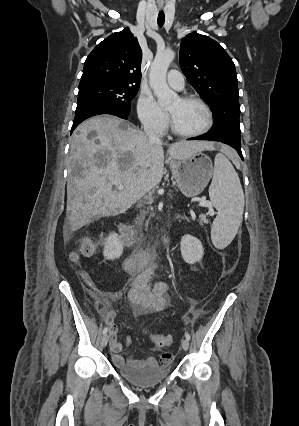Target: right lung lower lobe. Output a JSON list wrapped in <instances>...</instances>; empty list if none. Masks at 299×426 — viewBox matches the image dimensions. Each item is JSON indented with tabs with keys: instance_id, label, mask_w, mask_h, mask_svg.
I'll list each match as a JSON object with an SVG mask.
<instances>
[{
	"instance_id": "98d812e1",
	"label": "right lung lower lobe",
	"mask_w": 299,
	"mask_h": 426,
	"mask_svg": "<svg viewBox=\"0 0 299 426\" xmlns=\"http://www.w3.org/2000/svg\"><path fill=\"white\" fill-rule=\"evenodd\" d=\"M100 114L115 115L123 119H127V116L129 115V113H125L107 103L98 101H86L77 104L76 114L71 128V133L85 119Z\"/></svg>"
}]
</instances>
